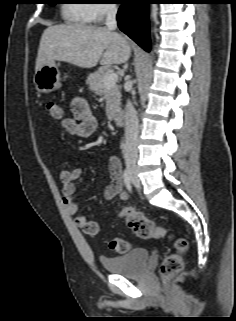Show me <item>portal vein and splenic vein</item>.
<instances>
[{"instance_id": "1", "label": "portal vein and splenic vein", "mask_w": 236, "mask_h": 321, "mask_svg": "<svg viewBox=\"0 0 236 321\" xmlns=\"http://www.w3.org/2000/svg\"><path fill=\"white\" fill-rule=\"evenodd\" d=\"M118 81V75L116 73L110 72L106 75L104 79V84L106 86H112Z\"/></svg>"}]
</instances>
